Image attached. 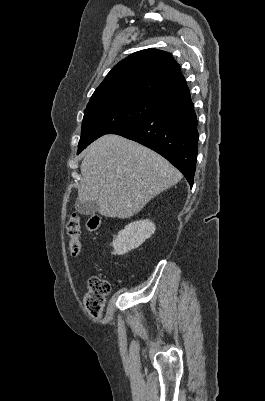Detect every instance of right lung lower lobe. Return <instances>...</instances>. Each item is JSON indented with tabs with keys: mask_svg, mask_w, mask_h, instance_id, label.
Masks as SVG:
<instances>
[{
	"mask_svg": "<svg viewBox=\"0 0 265 401\" xmlns=\"http://www.w3.org/2000/svg\"><path fill=\"white\" fill-rule=\"evenodd\" d=\"M198 120L190 93L170 100L150 115L110 134L136 141L162 155L193 186L197 161Z\"/></svg>",
	"mask_w": 265,
	"mask_h": 401,
	"instance_id": "right-lung-lower-lobe-1",
	"label": "right lung lower lobe"
}]
</instances>
